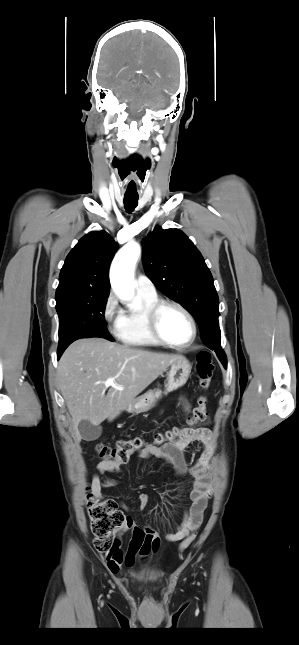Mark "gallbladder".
I'll return each mask as SVG.
<instances>
[{
  "instance_id": "obj_1",
  "label": "gallbladder",
  "mask_w": 299,
  "mask_h": 645,
  "mask_svg": "<svg viewBox=\"0 0 299 645\" xmlns=\"http://www.w3.org/2000/svg\"><path fill=\"white\" fill-rule=\"evenodd\" d=\"M78 431L83 440L93 441L101 436L102 427L100 425H93L87 420H82L78 425Z\"/></svg>"
}]
</instances>
